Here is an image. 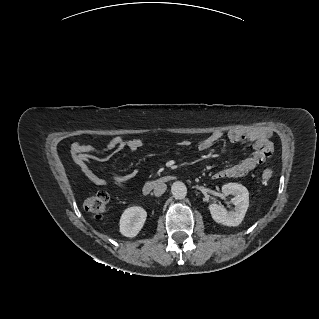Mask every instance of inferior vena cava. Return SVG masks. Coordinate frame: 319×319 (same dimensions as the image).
Masks as SVG:
<instances>
[{
	"instance_id": "obj_1",
	"label": "inferior vena cava",
	"mask_w": 319,
	"mask_h": 319,
	"mask_svg": "<svg viewBox=\"0 0 319 319\" xmlns=\"http://www.w3.org/2000/svg\"><path fill=\"white\" fill-rule=\"evenodd\" d=\"M167 189V185L165 183H159L154 187V195L159 197L161 196Z\"/></svg>"
}]
</instances>
